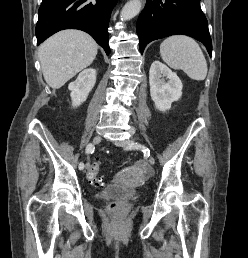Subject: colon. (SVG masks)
Returning <instances> with one entry per match:
<instances>
[{
	"instance_id": "1",
	"label": "colon",
	"mask_w": 248,
	"mask_h": 258,
	"mask_svg": "<svg viewBox=\"0 0 248 258\" xmlns=\"http://www.w3.org/2000/svg\"><path fill=\"white\" fill-rule=\"evenodd\" d=\"M88 171H94V172L85 174V179L90 180V182L95 186H101L102 178L100 175L97 174V171H100V163H89Z\"/></svg>"
}]
</instances>
